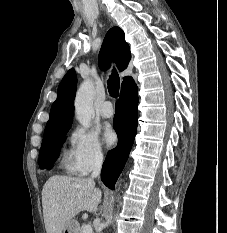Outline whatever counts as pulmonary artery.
I'll return each mask as SVG.
<instances>
[{"label": "pulmonary artery", "instance_id": "e3ab8cb5", "mask_svg": "<svg viewBox=\"0 0 227 233\" xmlns=\"http://www.w3.org/2000/svg\"><path fill=\"white\" fill-rule=\"evenodd\" d=\"M100 114L103 118H111L114 115V110L110 101H105L101 105Z\"/></svg>", "mask_w": 227, "mask_h": 233}]
</instances>
